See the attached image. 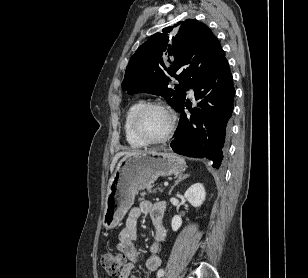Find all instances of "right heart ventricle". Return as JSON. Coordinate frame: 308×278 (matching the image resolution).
I'll list each match as a JSON object with an SVG mask.
<instances>
[{"label":"right heart ventricle","instance_id":"obj_1","mask_svg":"<svg viewBox=\"0 0 308 278\" xmlns=\"http://www.w3.org/2000/svg\"><path fill=\"white\" fill-rule=\"evenodd\" d=\"M142 104H144L142 100L134 101L128 106L124 114L123 129L125 133V138L127 143L134 148H141L146 145L145 142H143L136 136L131 126L132 115Z\"/></svg>","mask_w":308,"mask_h":278}]
</instances>
